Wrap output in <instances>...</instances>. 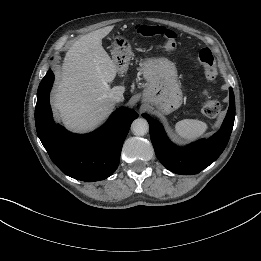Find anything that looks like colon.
<instances>
[{
  "label": "colon",
  "instance_id": "colon-1",
  "mask_svg": "<svg viewBox=\"0 0 261 261\" xmlns=\"http://www.w3.org/2000/svg\"><path fill=\"white\" fill-rule=\"evenodd\" d=\"M135 30L138 34L147 37H154L160 36L164 40V47L169 52H175L177 45H176V37L177 35L172 30L166 29L162 26L156 25H145V24H138L135 27ZM198 63L204 68L205 75L208 79L212 80L216 76V68H215V60L214 56L210 49L204 48L201 49L198 57ZM221 105L218 101L208 99L202 105L201 111L202 113L210 118H216L221 113Z\"/></svg>",
  "mask_w": 261,
  "mask_h": 261
}]
</instances>
